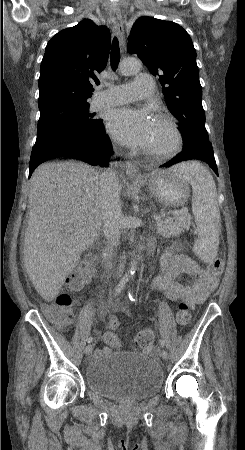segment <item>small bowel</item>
<instances>
[{
    "mask_svg": "<svg viewBox=\"0 0 245 450\" xmlns=\"http://www.w3.org/2000/svg\"><path fill=\"white\" fill-rule=\"evenodd\" d=\"M154 242L148 243L149 250H153ZM182 275H190L196 277L191 285L183 284L179 278ZM218 273L210 270L201 269L191 258L178 254L171 246L161 255V273L153 280V287L162 290L167 297L176 301H186L193 308L195 305L204 301L207 296L217 287L219 279ZM104 313H100L103 316ZM113 318V317H111ZM115 319V318H114ZM109 327L110 329H115ZM111 348L106 346L96 350V355H108Z\"/></svg>",
    "mask_w": 245,
    "mask_h": 450,
    "instance_id": "1",
    "label": "small bowel"
}]
</instances>
